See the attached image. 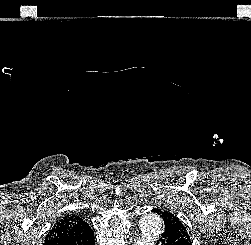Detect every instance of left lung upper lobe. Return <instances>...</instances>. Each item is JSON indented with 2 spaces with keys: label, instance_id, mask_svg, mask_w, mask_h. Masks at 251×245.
<instances>
[{
  "label": "left lung upper lobe",
  "instance_id": "1",
  "mask_svg": "<svg viewBox=\"0 0 251 245\" xmlns=\"http://www.w3.org/2000/svg\"><path fill=\"white\" fill-rule=\"evenodd\" d=\"M160 216L162 217L164 221L165 229L172 228L174 231L185 241L191 243L189 234L182 224V222L179 220L178 217H176L174 214H172L170 211L165 209H159Z\"/></svg>",
  "mask_w": 251,
  "mask_h": 245
}]
</instances>
